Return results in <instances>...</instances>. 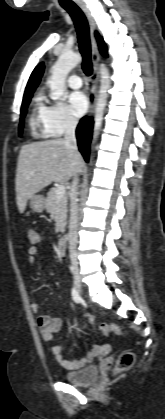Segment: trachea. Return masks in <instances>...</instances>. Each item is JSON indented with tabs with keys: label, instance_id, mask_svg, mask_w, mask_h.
Returning a JSON list of instances; mask_svg holds the SVG:
<instances>
[{
	"label": "trachea",
	"instance_id": "3493384b",
	"mask_svg": "<svg viewBox=\"0 0 165 419\" xmlns=\"http://www.w3.org/2000/svg\"><path fill=\"white\" fill-rule=\"evenodd\" d=\"M63 8L70 14L78 35V43L80 52L83 57L82 68L87 76L92 74L91 62V47L89 38V26L87 19L82 10L76 6H63Z\"/></svg>",
	"mask_w": 165,
	"mask_h": 419
}]
</instances>
